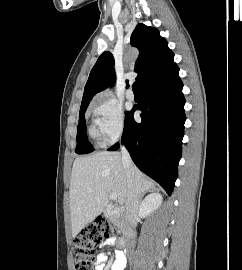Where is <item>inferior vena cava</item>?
<instances>
[{"instance_id":"inferior-vena-cava-1","label":"inferior vena cava","mask_w":242,"mask_h":270,"mask_svg":"<svg viewBox=\"0 0 242 270\" xmlns=\"http://www.w3.org/2000/svg\"><path fill=\"white\" fill-rule=\"evenodd\" d=\"M121 160L123 168L125 170L126 177L128 179H131L133 175L134 165L127 149L124 146L121 147ZM138 208H139V195L135 192L133 188H131L125 204V220L128 224L132 225L133 227L137 226Z\"/></svg>"}]
</instances>
